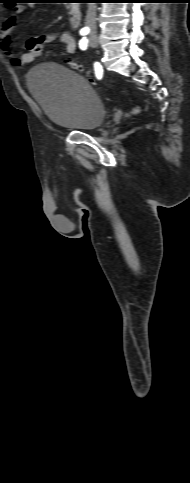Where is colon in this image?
<instances>
[{
	"label": "colon",
	"instance_id": "1",
	"mask_svg": "<svg viewBox=\"0 0 190 483\" xmlns=\"http://www.w3.org/2000/svg\"><path fill=\"white\" fill-rule=\"evenodd\" d=\"M67 64L78 71H84V66L82 64L76 63L71 58L67 60ZM137 112H138V108H133L130 111V115L136 114Z\"/></svg>",
	"mask_w": 190,
	"mask_h": 483
}]
</instances>
